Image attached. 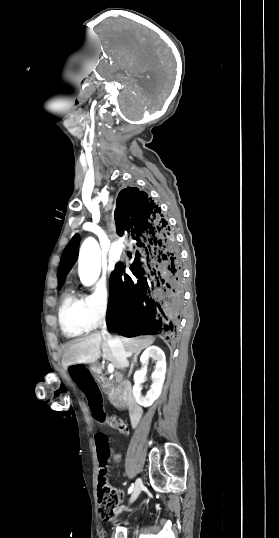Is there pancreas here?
Listing matches in <instances>:
<instances>
[{
	"mask_svg": "<svg viewBox=\"0 0 279 538\" xmlns=\"http://www.w3.org/2000/svg\"><path fill=\"white\" fill-rule=\"evenodd\" d=\"M105 394H107L108 396V400H110L111 404H113V406H116V404H118L119 400H120V392L119 390H116V388H113V386H109V388H107V386H105V388H103Z\"/></svg>",
	"mask_w": 279,
	"mask_h": 538,
	"instance_id": "obj_1",
	"label": "pancreas"
}]
</instances>
